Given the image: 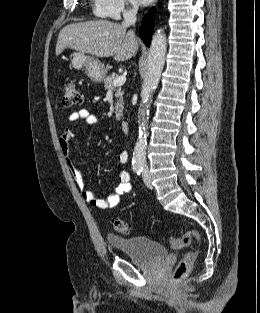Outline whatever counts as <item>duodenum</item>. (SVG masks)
<instances>
[{"mask_svg": "<svg viewBox=\"0 0 260 313\" xmlns=\"http://www.w3.org/2000/svg\"><path fill=\"white\" fill-rule=\"evenodd\" d=\"M122 130L126 134L129 133V123L127 121L122 122Z\"/></svg>", "mask_w": 260, "mask_h": 313, "instance_id": "1", "label": "duodenum"}]
</instances>
